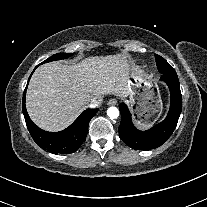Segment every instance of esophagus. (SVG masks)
Listing matches in <instances>:
<instances>
[{"mask_svg": "<svg viewBox=\"0 0 207 207\" xmlns=\"http://www.w3.org/2000/svg\"><path fill=\"white\" fill-rule=\"evenodd\" d=\"M117 104V100L114 99V98H111L109 101H108V105H111V106H114Z\"/></svg>", "mask_w": 207, "mask_h": 207, "instance_id": "esophagus-1", "label": "esophagus"}]
</instances>
